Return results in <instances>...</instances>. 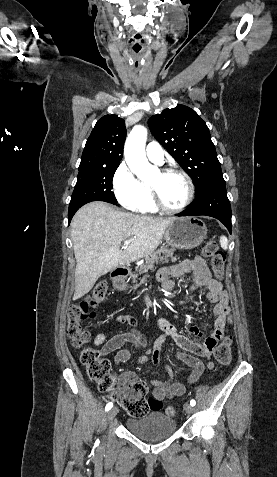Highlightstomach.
I'll return each mask as SVG.
<instances>
[{
  "label": "stomach",
  "mask_w": 277,
  "mask_h": 477,
  "mask_svg": "<svg viewBox=\"0 0 277 477\" xmlns=\"http://www.w3.org/2000/svg\"><path fill=\"white\" fill-rule=\"evenodd\" d=\"M207 238L206 224L199 218H175L166 228L165 241L168 246L190 250L198 247ZM116 286L122 290L126 284L118 281Z\"/></svg>",
  "instance_id": "0dacf381"
}]
</instances>
